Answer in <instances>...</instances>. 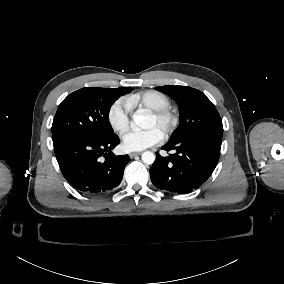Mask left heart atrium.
Instances as JSON below:
<instances>
[{"label": "left heart atrium", "instance_id": "1", "mask_svg": "<svg viewBox=\"0 0 284 284\" xmlns=\"http://www.w3.org/2000/svg\"><path fill=\"white\" fill-rule=\"evenodd\" d=\"M163 140L162 133L157 128L146 130L129 129L123 133L122 148L126 151H138L149 148Z\"/></svg>", "mask_w": 284, "mask_h": 284}]
</instances>
